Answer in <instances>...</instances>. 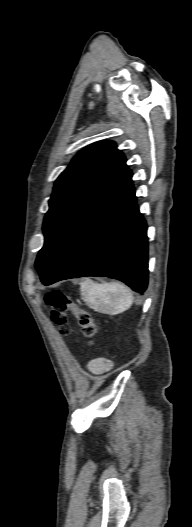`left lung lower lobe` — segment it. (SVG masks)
<instances>
[{"instance_id":"obj_1","label":"left lung lower lobe","mask_w":192,"mask_h":527,"mask_svg":"<svg viewBox=\"0 0 192 527\" xmlns=\"http://www.w3.org/2000/svg\"><path fill=\"white\" fill-rule=\"evenodd\" d=\"M129 171L93 210L65 250L41 277L44 285L69 278L107 276L136 292L148 283L147 226L139 213Z\"/></svg>"}]
</instances>
